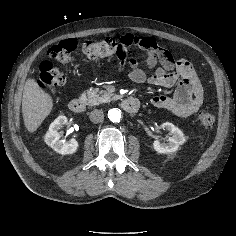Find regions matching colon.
<instances>
[{
    "label": "colon",
    "instance_id": "colon-1",
    "mask_svg": "<svg viewBox=\"0 0 236 236\" xmlns=\"http://www.w3.org/2000/svg\"><path fill=\"white\" fill-rule=\"evenodd\" d=\"M77 42L74 39H67L53 45L47 52V57L58 63L69 61L71 54L76 50ZM84 56L90 60L106 58L116 55L119 58H127L130 54V47L122 44L113 38H106L101 41H87L82 45ZM65 75L57 69L50 60H44L39 66V85L49 90L65 83ZM200 124L205 128H211L215 123V116L211 111L203 110L198 114Z\"/></svg>",
    "mask_w": 236,
    "mask_h": 236
}]
</instances>
